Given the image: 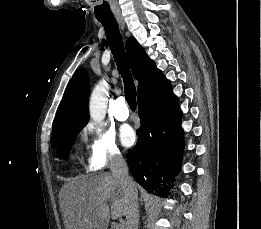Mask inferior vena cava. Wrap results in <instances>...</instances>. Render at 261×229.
<instances>
[{
    "label": "inferior vena cava",
    "instance_id": "1",
    "mask_svg": "<svg viewBox=\"0 0 261 229\" xmlns=\"http://www.w3.org/2000/svg\"><path fill=\"white\" fill-rule=\"evenodd\" d=\"M110 169L113 177H117L129 199L125 229H138L139 205L137 189L133 179L128 175V165L123 157H113Z\"/></svg>",
    "mask_w": 261,
    "mask_h": 229
}]
</instances>
